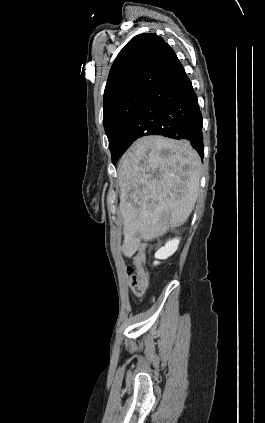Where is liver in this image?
I'll return each instance as SVG.
<instances>
[{"label": "liver", "instance_id": "1", "mask_svg": "<svg viewBox=\"0 0 265 423\" xmlns=\"http://www.w3.org/2000/svg\"><path fill=\"white\" fill-rule=\"evenodd\" d=\"M117 171L121 251L131 257L140 239L158 238L186 222L199 193L201 160L187 140L146 136L125 152Z\"/></svg>", "mask_w": 265, "mask_h": 423}]
</instances>
